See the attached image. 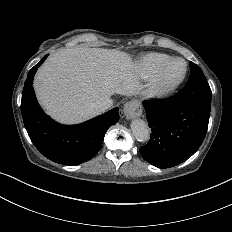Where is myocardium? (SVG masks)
I'll return each mask as SVG.
<instances>
[{
	"label": "myocardium",
	"mask_w": 232,
	"mask_h": 232,
	"mask_svg": "<svg viewBox=\"0 0 232 232\" xmlns=\"http://www.w3.org/2000/svg\"><path fill=\"white\" fill-rule=\"evenodd\" d=\"M177 62H183L185 64L183 74L177 79L166 80L167 73ZM187 73L188 63L180 58H172L145 82L141 91L142 98L149 103L157 104L163 102L181 85Z\"/></svg>",
	"instance_id": "myocardium-1"
}]
</instances>
